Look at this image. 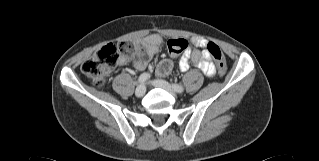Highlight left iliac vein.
I'll return each mask as SVG.
<instances>
[{"label": "left iliac vein", "instance_id": "1", "mask_svg": "<svg viewBox=\"0 0 319 161\" xmlns=\"http://www.w3.org/2000/svg\"><path fill=\"white\" fill-rule=\"evenodd\" d=\"M152 84H153V86L158 87V88H162V89L168 91L171 95L176 96V91L173 89V87L167 81L157 79V80L152 81Z\"/></svg>", "mask_w": 319, "mask_h": 161}]
</instances>
